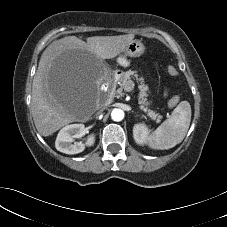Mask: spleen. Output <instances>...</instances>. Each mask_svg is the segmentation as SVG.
<instances>
[{
	"label": "spleen",
	"instance_id": "obj_1",
	"mask_svg": "<svg viewBox=\"0 0 227 227\" xmlns=\"http://www.w3.org/2000/svg\"><path fill=\"white\" fill-rule=\"evenodd\" d=\"M190 122L191 106L188 101H182L171 116L148 136L149 146L158 150L173 148L185 138Z\"/></svg>",
	"mask_w": 227,
	"mask_h": 227
}]
</instances>
